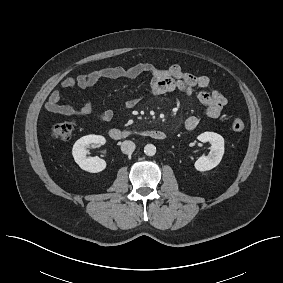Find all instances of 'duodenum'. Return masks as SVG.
<instances>
[{"label": "duodenum", "mask_w": 283, "mask_h": 283, "mask_svg": "<svg viewBox=\"0 0 283 283\" xmlns=\"http://www.w3.org/2000/svg\"><path fill=\"white\" fill-rule=\"evenodd\" d=\"M135 132L131 130H122V129H111L109 132V136L113 140H123L133 136ZM144 136H148L154 140H164L166 138V133L162 130H151L144 131L141 133Z\"/></svg>", "instance_id": "duodenum-1"}]
</instances>
